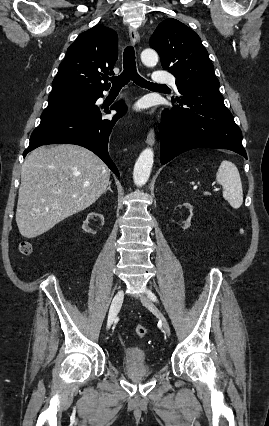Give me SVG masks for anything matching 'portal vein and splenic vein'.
I'll list each match as a JSON object with an SVG mask.
<instances>
[{
  "instance_id": "obj_1",
  "label": "portal vein and splenic vein",
  "mask_w": 269,
  "mask_h": 426,
  "mask_svg": "<svg viewBox=\"0 0 269 426\" xmlns=\"http://www.w3.org/2000/svg\"><path fill=\"white\" fill-rule=\"evenodd\" d=\"M215 191H218L219 190V188H216V189H214Z\"/></svg>"
}]
</instances>
